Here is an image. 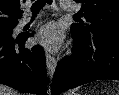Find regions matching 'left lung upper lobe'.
Wrapping results in <instances>:
<instances>
[{
  "label": "left lung upper lobe",
  "instance_id": "5c2ea615",
  "mask_svg": "<svg viewBox=\"0 0 119 95\" xmlns=\"http://www.w3.org/2000/svg\"><path fill=\"white\" fill-rule=\"evenodd\" d=\"M82 3L80 10L89 24L74 23L71 27L78 35L94 32L119 33V0H75Z\"/></svg>",
  "mask_w": 119,
  "mask_h": 95
}]
</instances>
